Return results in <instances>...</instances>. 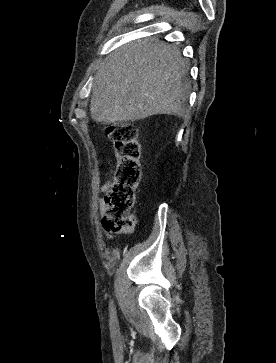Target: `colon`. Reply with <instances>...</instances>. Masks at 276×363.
I'll use <instances>...</instances> for the list:
<instances>
[{"label": "colon", "instance_id": "5ec220e1", "mask_svg": "<svg viewBox=\"0 0 276 363\" xmlns=\"http://www.w3.org/2000/svg\"><path fill=\"white\" fill-rule=\"evenodd\" d=\"M106 134L114 143L117 164L104 197L103 227L108 232L130 234L136 225L131 211L142 176L137 128L129 123L111 124L106 127Z\"/></svg>", "mask_w": 276, "mask_h": 363}]
</instances>
